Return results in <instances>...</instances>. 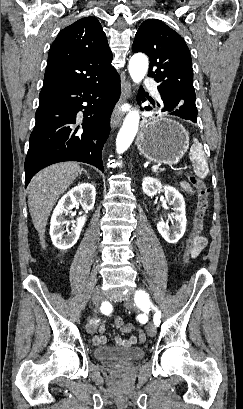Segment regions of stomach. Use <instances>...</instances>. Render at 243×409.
Masks as SVG:
<instances>
[{"label":"stomach","instance_id":"0dacf381","mask_svg":"<svg viewBox=\"0 0 243 409\" xmlns=\"http://www.w3.org/2000/svg\"><path fill=\"white\" fill-rule=\"evenodd\" d=\"M136 144L139 152L148 160L176 164L189 147V133L173 119L153 117L142 126Z\"/></svg>","mask_w":243,"mask_h":409}]
</instances>
